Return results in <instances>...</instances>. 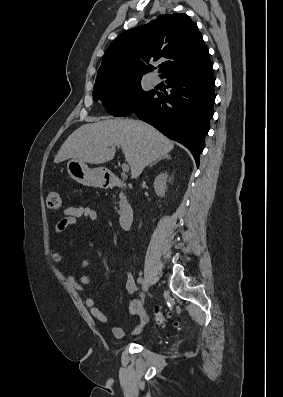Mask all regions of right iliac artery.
I'll use <instances>...</instances> for the list:
<instances>
[{
  "instance_id": "right-iliac-artery-1",
  "label": "right iliac artery",
  "mask_w": 283,
  "mask_h": 397,
  "mask_svg": "<svg viewBox=\"0 0 283 397\" xmlns=\"http://www.w3.org/2000/svg\"><path fill=\"white\" fill-rule=\"evenodd\" d=\"M137 282H138V283H143L144 280H143V278L140 277V278H138Z\"/></svg>"
}]
</instances>
